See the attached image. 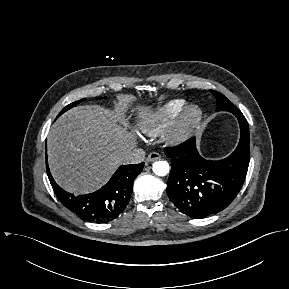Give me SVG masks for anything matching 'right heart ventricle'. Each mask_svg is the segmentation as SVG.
Listing matches in <instances>:
<instances>
[{
  "mask_svg": "<svg viewBox=\"0 0 289 289\" xmlns=\"http://www.w3.org/2000/svg\"><path fill=\"white\" fill-rule=\"evenodd\" d=\"M184 106L182 99L168 101L141 124L142 131L149 136L162 134L176 122Z\"/></svg>",
  "mask_w": 289,
  "mask_h": 289,
  "instance_id": "obj_1",
  "label": "right heart ventricle"
}]
</instances>
